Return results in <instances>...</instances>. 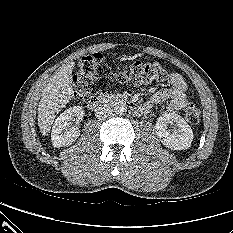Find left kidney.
<instances>
[{
  "label": "left kidney",
  "mask_w": 233,
  "mask_h": 233,
  "mask_svg": "<svg viewBox=\"0 0 233 233\" xmlns=\"http://www.w3.org/2000/svg\"><path fill=\"white\" fill-rule=\"evenodd\" d=\"M168 124L175 125L173 132L168 130ZM156 133L166 147L171 150H187L193 141V131L180 115L163 113L157 119Z\"/></svg>",
  "instance_id": "1"
}]
</instances>
